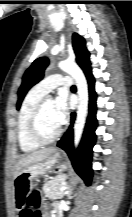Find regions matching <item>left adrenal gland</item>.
<instances>
[{"instance_id":"obj_1","label":"left adrenal gland","mask_w":132,"mask_h":217,"mask_svg":"<svg viewBox=\"0 0 132 217\" xmlns=\"http://www.w3.org/2000/svg\"><path fill=\"white\" fill-rule=\"evenodd\" d=\"M66 194H67L68 197H70V194H71L70 188H68V190L66 191Z\"/></svg>"}]
</instances>
